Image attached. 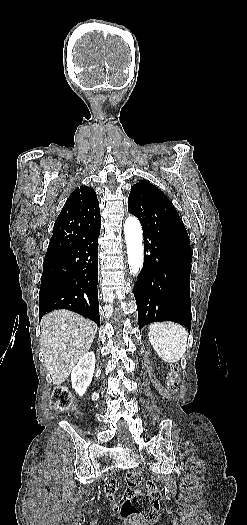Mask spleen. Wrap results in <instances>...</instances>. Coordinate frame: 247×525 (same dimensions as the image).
I'll list each match as a JSON object with an SVG mask.
<instances>
[{
  "label": "spleen",
  "mask_w": 247,
  "mask_h": 525,
  "mask_svg": "<svg viewBox=\"0 0 247 525\" xmlns=\"http://www.w3.org/2000/svg\"><path fill=\"white\" fill-rule=\"evenodd\" d=\"M148 337L158 357L165 363H177L186 351L188 333L178 323H152Z\"/></svg>",
  "instance_id": "3e777b00"
}]
</instances>
